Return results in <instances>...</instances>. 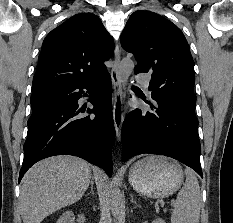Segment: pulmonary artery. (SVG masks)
Wrapping results in <instances>:
<instances>
[{"label":"pulmonary artery","instance_id":"1","mask_svg":"<svg viewBox=\"0 0 233 223\" xmlns=\"http://www.w3.org/2000/svg\"><path fill=\"white\" fill-rule=\"evenodd\" d=\"M136 74H138L139 83L145 89H147L149 87V84H150L151 75L150 74H140V71H136Z\"/></svg>","mask_w":233,"mask_h":223}]
</instances>
